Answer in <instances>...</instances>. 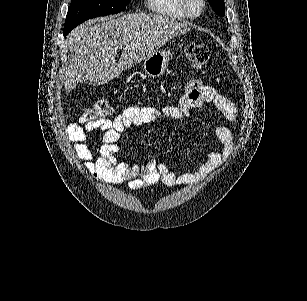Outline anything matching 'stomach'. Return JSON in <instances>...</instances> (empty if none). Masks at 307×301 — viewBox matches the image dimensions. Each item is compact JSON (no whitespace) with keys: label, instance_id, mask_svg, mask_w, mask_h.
Returning a JSON list of instances; mask_svg holds the SVG:
<instances>
[{"label":"stomach","instance_id":"0dacf381","mask_svg":"<svg viewBox=\"0 0 307 301\" xmlns=\"http://www.w3.org/2000/svg\"><path fill=\"white\" fill-rule=\"evenodd\" d=\"M169 60H171L169 50H156V52L148 54L147 58H145L143 70H145L148 76L157 78V76H162V74H164Z\"/></svg>","mask_w":307,"mask_h":301}]
</instances>
